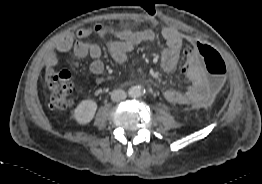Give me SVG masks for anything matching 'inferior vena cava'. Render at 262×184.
I'll list each match as a JSON object with an SVG mask.
<instances>
[{
    "instance_id": "1",
    "label": "inferior vena cava",
    "mask_w": 262,
    "mask_h": 184,
    "mask_svg": "<svg viewBox=\"0 0 262 184\" xmlns=\"http://www.w3.org/2000/svg\"><path fill=\"white\" fill-rule=\"evenodd\" d=\"M126 97H127L126 92L124 90H121V89L114 90L111 93V99L115 102L122 101V100L126 99Z\"/></svg>"
}]
</instances>
